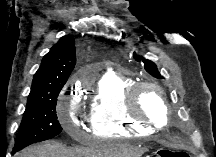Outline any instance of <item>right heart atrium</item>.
<instances>
[{
  "instance_id": "obj_1",
  "label": "right heart atrium",
  "mask_w": 216,
  "mask_h": 157,
  "mask_svg": "<svg viewBox=\"0 0 216 157\" xmlns=\"http://www.w3.org/2000/svg\"><path fill=\"white\" fill-rule=\"evenodd\" d=\"M88 118L80 113L79 103L75 98L70 99L65 112L61 113L60 122L63 128L69 133H75L82 129Z\"/></svg>"
}]
</instances>
